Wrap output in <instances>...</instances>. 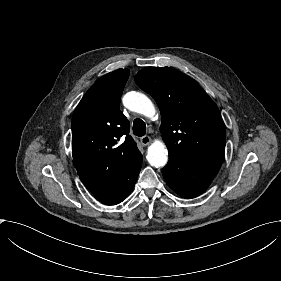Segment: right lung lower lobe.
<instances>
[{"instance_id":"obj_1","label":"right lung lower lobe","mask_w":281,"mask_h":281,"mask_svg":"<svg viewBox=\"0 0 281 281\" xmlns=\"http://www.w3.org/2000/svg\"><path fill=\"white\" fill-rule=\"evenodd\" d=\"M142 166L141 153L130 163L126 170L110 185L94 196L102 203L115 205L122 202L133 190Z\"/></svg>"}]
</instances>
